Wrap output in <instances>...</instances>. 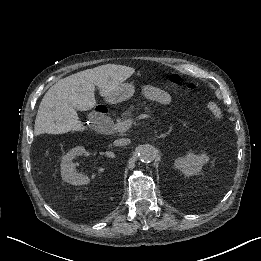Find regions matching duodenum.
<instances>
[{
  "instance_id": "410a0bca",
  "label": "duodenum",
  "mask_w": 261,
  "mask_h": 261,
  "mask_svg": "<svg viewBox=\"0 0 261 261\" xmlns=\"http://www.w3.org/2000/svg\"><path fill=\"white\" fill-rule=\"evenodd\" d=\"M91 116L95 121L102 122L107 118L108 111L104 106L97 105L92 109Z\"/></svg>"
}]
</instances>
